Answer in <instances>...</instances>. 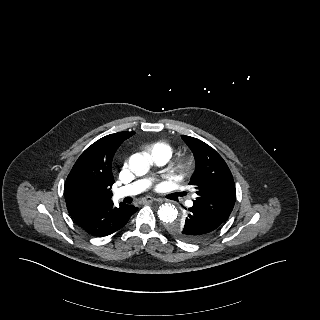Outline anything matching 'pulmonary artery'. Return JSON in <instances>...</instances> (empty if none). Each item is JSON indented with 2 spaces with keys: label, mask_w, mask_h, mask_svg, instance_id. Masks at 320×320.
<instances>
[{
  "label": "pulmonary artery",
  "mask_w": 320,
  "mask_h": 320,
  "mask_svg": "<svg viewBox=\"0 0 320 320\" xmlns=\"http://www.w3.org/2000/svg\"><path fill=\"white\" fill-rule=\"evenodd\" d=\"M169 158L170 156L164 153L154 154L150 157L151 161L157 166L165 165L168 162ZM149 185H150V180L148 179L135 181L129 185L118 188L114 193V198L122 199L126 196L136 195L138 193H141L145 189H147ZM187 205L192 206L193 202L189 201Z\"/></svg>",
  "instance_id": "obj_1"
}]
</instances>
